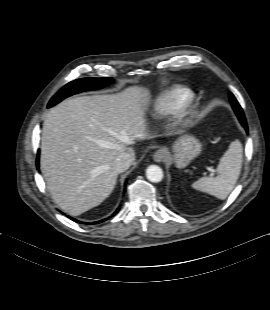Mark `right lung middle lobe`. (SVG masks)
<instances>
[{"mask_svg":"<svg viewBox=\"0 0 270 310\" xmlns=\"http://www.w3.org/2000/svg\"><path fill=\"white\" fill-rule=\"evenodd\" d=\"M113 81L112 78H82L74 80L62 87L50 100L48 107H52L64 98L86 90L105 87Z\"/></svg>","mask_w":270,"mask_h":310,"instance_id":"obj_1","label":"right lung middle lobe"}]
</instances>
